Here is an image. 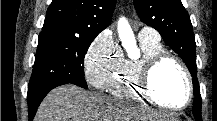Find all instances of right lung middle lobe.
<instances>
[{
    "label": "right lung middle lobe",
    "instance_id": "dd1d6c3e",
    "mask_svg": "<svg viewBox=\"0 0 217 121\" xmlns=\"http://www.w3.org/2000/svg\"><path fill=\"white\" fill-rule=\"evenodd\" d=\"M94 39L41 32L28 91L55 80H66L87 89L84 57Z\"/></svg>",
    "mask_w": 217,
    "mask_h": 121
}]
</instances>
